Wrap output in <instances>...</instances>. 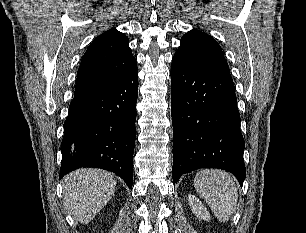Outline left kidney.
I'll return each instance as SVG.
<instances>
[{
  "label": "left kidney",
  "instance_id": "1",
  "mask_svg": "<svg viewBox=\"0 0 306 233\" xmlns=\"http://www.w3.org/2000/svg\"><path fill=\"white\" fill-rule=\"evenodd\" d=\"M188 202L193 214H195L198 218L203 219L205 221L210 220V213L196 196L189 194Z\"/></svg>",
  "mask_w": 306,
  "mask_h": 233
}]
</instances>
